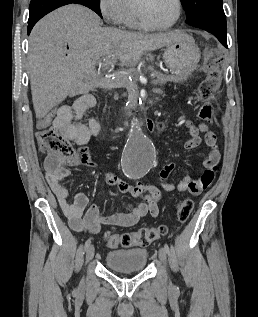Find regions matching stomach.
I'll use <instances>...</instances> for the list:
<instances>
[{
	"mask_svg": "<svg viewBox=\"0 0 258 317\" xmlns=\"http://www.w3.org/2000/svg\"><path fill=\"white\" fill-rule=\"evenodd\" d=\"M200 54L201 52L195 44L194 38L184 32L181 40L167 44L164 48L163 58L166 66L170 68L173 74L186 76L199 62Z\"/></svg>",
	"mask_w": 258,
	"mask_h": 317,
	"instance_id": "0dacf381",
	"label": "stomach"
}]
</instances>
